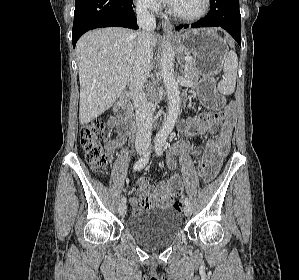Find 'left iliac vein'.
Instances as JSON below:
<instances>
[{
	"label": "left iliac vein",
	"instance_id": "4c4485c4",
	"mask_svg": "<svg viewBox=\"0 0 299 280\" xmlns=\"http://www.w3.org/2000/svg\"><path fill=\"white\" fill-rule=\"evenodd\" d=\"M184 214H185L186 216H190V215H191V207H190L189 205H186V206L184 207Z\"/></svg>",
	"mask_w": 299,
	"mask_h": 280
}]
</instances>
